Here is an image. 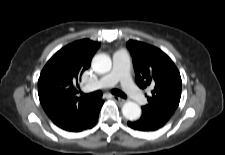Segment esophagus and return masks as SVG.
I'll use <instances>...</instances> for the list:
<instances>
[{"label": "esophagus", "mask_w": 225, "mask_h": 155, "mask_svg": "<svg viewBox=\"0 0 225 155\" xmlns=\"http://www.w3.org/2000/svg\"><path fill=\"white\" fill-rule=\"evenodd\" d=\"M113 99L120 104H123L125 102V99H123L119 96H113Z\"/></svg>", "instance_id": "obj_1"}]
</instances>
